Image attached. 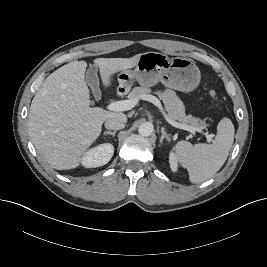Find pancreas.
I'll list each match as a JSON object with an SVG mask.
<instances>
[{
  "mask_svg": "<svg viewBox=\"0 0 267 267\" xmlns=\"http://www.w3.org/2000/svg\"><path fill=\"white\" fill-rule=\"evenodd\" d=\"M151 93V89L147 87H135L129 93V99H138L144 95ZM156 94L163 100L168 115L174 121L181 122L182 124L190 125L195 128H199L200 125L204 124L203 121L199 120L192 115H185V106L183 102L177 97L176 93L173 90L166 89L164 91H157Z\"/></svg>",
  "mask_w": 267,
  "mask_h": 267,
  "instance_id": "obj_1",
  "label": "pancreas"
}]
</instances>
